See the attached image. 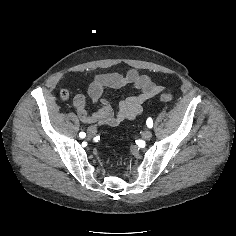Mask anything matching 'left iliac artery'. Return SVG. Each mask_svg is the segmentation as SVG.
<instances>
[{
  "label": "left iliac artery",
  "mask_w": 236,
  "mask_h": 236,
  "mask_svg": "<svg viewBox=\"0 0 236 236\" xmlns=\"http://www.w3.org/2000/svg\"><path fill=\"white\" fill-rule=\"evenodd\" d=\"M146 124H147V126H148L149 128H152V127H153V121H152V119H151V118H148Z\"/></svg>",
  "instance_id": "1"
}]
</instances>
